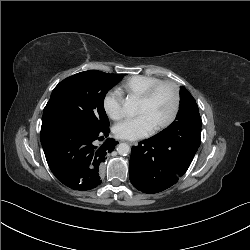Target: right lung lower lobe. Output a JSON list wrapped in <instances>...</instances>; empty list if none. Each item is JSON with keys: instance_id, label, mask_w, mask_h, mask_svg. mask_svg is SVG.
Listing matches in <instances>:
<instances>
[{"instance_id": "right-lung-lower-lobe-1", "label": "right lung lower lobe", "mask_w": 250, "mask_h": 250, "mask_svg": "<svg viewBox=\"0 0 250 250\" xmlns=\"http://www.w3.org/2000/svg\"><path fill=\"white\" fill-rule=\"evenodd\" d=\"M109 128L100 131L56 125L41 130L40 139L47 163L64 185L74 190H91L101 184L100 169L106 155L117 142L108 138L101 146L96 140L108 136Z\"/></svg>"}]
</instances>
